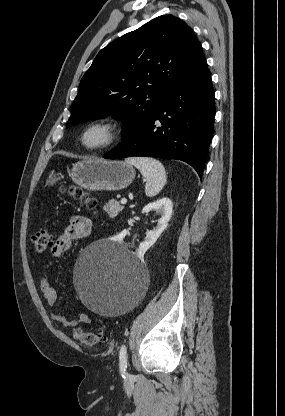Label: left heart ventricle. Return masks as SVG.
Instances as JSON below:
<instances>
[{"label": "left heart ventricle", "instance_id": "1", "mask_svg": "<svg viewBox=\"0 0 285 416\" xmlns=\"http://www.w3.org/2000/svg\"><path fill=\"white\" fill-rule=\"evenodd\" d=\"M104 140L103 132L99 129L91 131L85 140L86 145L88 146H97L101 144Z\"/></svg>", "mask_w": 285, "mask_h": 416}]
</instances>
